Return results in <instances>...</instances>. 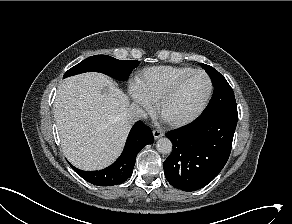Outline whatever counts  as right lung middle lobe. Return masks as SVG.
Wrapping results in <instances>:
<instances>
[{"label": "right lung middle lobe", "mask_w": 292, "mask_h": 224, "mask_svg": "<svg viewBox=\"0 0 292 224\" xmlns=\"http://www.w3.org/2000/svg\"><path fill=\"white\" fill-rule=\"evenodd\" d=\"M138 65L139 61L135 60L122 61L107 55H95L69 69L63 78L84 72H101L117 80L125 81Z\"/></svg>", "instance_id": "1"}]
</instances>
